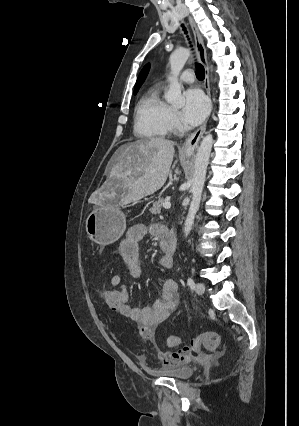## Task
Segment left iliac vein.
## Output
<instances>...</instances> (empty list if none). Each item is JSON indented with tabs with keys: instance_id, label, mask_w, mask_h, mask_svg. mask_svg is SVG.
Returning <instances> with one entry per match:
<instances>
[{
	"instance_id": "left-iliac-vein-1",
	"label": "left iliac vein",
	"mask_w": 299,
	"mask_h": 426,
	"mask_svg": "<svg viewBox=\"0 0 299 426\" xmlns=\"http://www.w3.org/2000/svg\"><path fill=\"white\" fill-rule=\"evenodd\" d=\"M195 290L199 295H202L205 292V286L202 283L198 282L195 285Z\"/></svg>"
}]
</instances>
